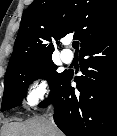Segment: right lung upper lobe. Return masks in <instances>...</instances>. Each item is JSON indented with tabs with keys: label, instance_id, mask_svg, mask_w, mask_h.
Masks as SVG:
<instances>
[{
	"label": "right lung upper lobe",
	"instance_id": "right-lung-upper-lobe-1",
	"mask_svg": "<svg viewBox=\"0 0 117 136\" xmlns=\"http://www.w3.org/2000/svg\"><path fill=\"white\" fill-rule=\"evenodd\" d=\"M116 27L117 0H34L22 16L9 65L52 57L57 40L72 31L82 48Z\"/></svg>",
	"mask_w": 117,
	"mask_h": 136
}]
</instances>
